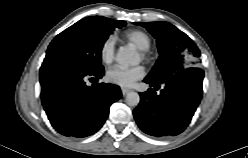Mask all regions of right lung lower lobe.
Wrapping results in <instances>:
<instances>
[{"mask_svg": "<svg viewBox=\"0 0 248 158\" xmlns=\"http://www.w3.org/2000/svg\"><path fill=\"white\" fill-rule=\"evenodd\" d=\"M104 68L83 71L70 66L42 65L41 100L52 126L62 135L86 137L97 132L106 121L112 103L122 96L116 85L94 82Z\"/></svg>", "mask_w": 248, "mask_h": 158, "instance_id": "right-lung-lower-lobe-1", "label": "right lung lower lobe"}]
</instances>
